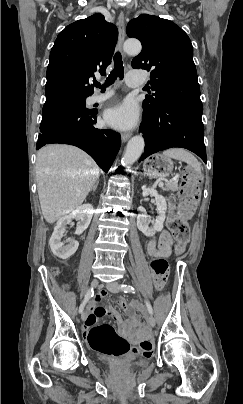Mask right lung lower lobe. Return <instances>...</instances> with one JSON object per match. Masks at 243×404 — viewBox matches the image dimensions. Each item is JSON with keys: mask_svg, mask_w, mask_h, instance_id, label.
Listing matches in <instances>:
<instances>
[{"mask_svg": "<svg viewBox=\"0 0 243 404\" xmlns=\"http://www.w3.org/2000/svg\"><path fill=\"white\" fill-rule=\"evenodd\" d=\"M96 113L86 107L73 106L43 117L36 149L51 143L75 145L108 172L119 151L121 137L112 130L95 128Z\"/></svg>", "mask_w": 243, "mask_h": 404, "instance_id": "obj_1", "label": "right lung lower lobe"}]
</instances>
